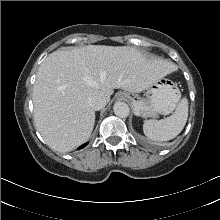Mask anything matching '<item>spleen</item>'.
Listing matches in <instances>:
<instances>
[{
    "mask_svg": "<svg viewBox=\"0 0 220 220\" xmlns=\"http://www.w3.org/2000/svg\"><path fill=\"white\" fill-rule=\"evenodd\" d=\"M188 118V100L182 98L175 112L161 120H147L143 124L146 137L154 141H168L175 138L184 128Z\"/></svg>",
    "mask_w": 220,
    "mask_h": 220,
    "instance_id": "1",
    "label": "spleen"
}]
</instances>
